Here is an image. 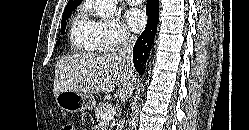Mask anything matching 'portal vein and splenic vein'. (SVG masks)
I'll use <instances>...</instances> for the list:
<instances>
[{
    "label": "portal vein and splenic vein",
    "instance_id": "portal-vein-and-splenic-vein-1",
    "mask_svg": "<svg viewBox=\"0 0 249 130\" xmlns=\"http://www.w3.org/2000/svg\"><path fill=\"white\" fill-rule=\"evenodd\" d=\"M115 113H116L115 108L112 107L108 111L104 112L101 115V118L104 122H109L111 119H113Z\"/></svg>",
    "mask_w": 249,
    "mask_h": 130
}]
</instances>
